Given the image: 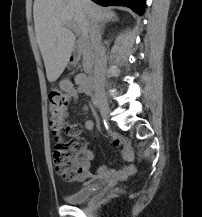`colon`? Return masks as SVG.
Listing matches in <instances>:
<instances>
[{"mask_svg":"<svg viewBox=\"0 0 202 217\" xmlns=\"http://www.w3.org/2000/svg\"><path fill=\"white\" fill-rule=\"evenodd\" d=\"M69 96L59 90H51L48 94V112L50 127L54 132L53 157L57 173L66 181H74L82 177V155L85 142L76 133L70 131L65 122ZM63 133L67 138L63 137Z\"/></svg>","mask_w":202,"mask_h":217,"instance_id":"5ec220e1","label":"colon"}]
</instances>
